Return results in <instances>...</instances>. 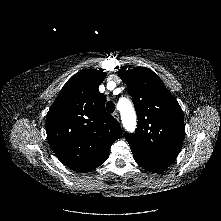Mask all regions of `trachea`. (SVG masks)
I'll return each instance as SVG.
<instances>
[{"instance_id": "1", "label": "trachea", "mask_w": 221, "mask_h": 221, "mask_svg": "<svg viewBox=\"0 0 221 221\" xmlns=\"http://www.w3.org/2000/svg\"><path fill=\"white\" fill-rule=\"evenodd\" d=\"M115 110V104L111 101L107 102L106 104V111L109 113H113Z\"/></svg>"}]
</instances>
